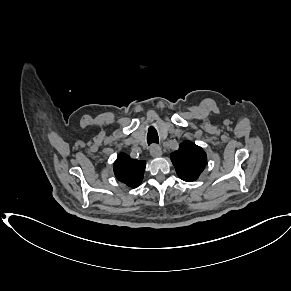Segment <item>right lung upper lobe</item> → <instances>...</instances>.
Masks as SVG:
<instances>
[{"instance_id":"1","label":"right lung upper lobe","mask_w":291,"mask_h":291,"mask_svg":"<svg viewBox=\"0 0 291 291\" xmlns=\"http://www.w3.org/2000/svg\"><path fill=\"white\" fill-rule=\"evenodd\" d=\"M145 166V161L132 159L125 153H120L113 165L116 178L132 188L142 182Z\"/></svg>"}]
</instances>
